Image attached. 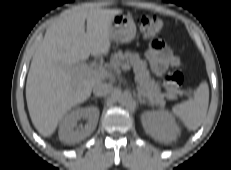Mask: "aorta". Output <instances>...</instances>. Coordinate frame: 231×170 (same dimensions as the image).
<instances>
[{"mask_svg": "<svg viewBox=\"0 0 231 170\" xmlns=\"http://www.w3.org/2000/svg\"><path fill=\"white\" fill-rule=\"evenodd\" d=\"M118 102L122 105H129L132 102V96L129 93H121L118 95Z\"/></svg>", "mask_w": 231, "mask_h": 170, "instance_id": "762f6f07", "label": "aorta"}]
</instances>
